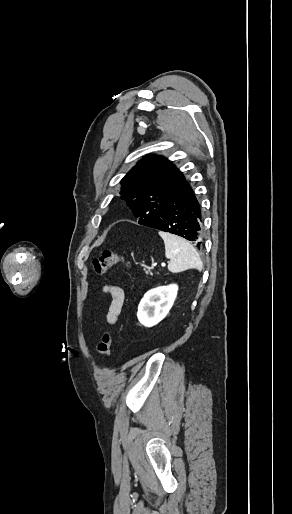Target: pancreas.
I'll return each instance as SVG.
<instances>
[{"mask_svg": "<svg viewBox=\"0 0 292 514\" xmlns=\"http://www.w3.org/2000/svg\"><path fill=\"white\" fill-rule=\"evenodd\" d=\"M146 274H150V272H146Z\"/></svg>", "mask_w": 292, "mask_h": 514, "instance_id": "obj_1", "label": "pancreas"}]
</instances>
